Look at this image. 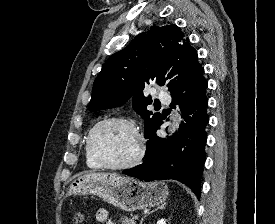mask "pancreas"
<instances>
[{
  "mask_svg": "<svg viewBox=\"0 0 275 224\" xmlns=\"http://www.w3.org/2000/svg\"><path fill=\"white\" fill-rule=\"evenodd\" d=\"M136 219H137L136 216L132 218L121 217V219L119 220V224H135Z\"/></svg>",
  "mask_w": 275,
  "mask_h": 224,
  "instance_id": "pancreas-1",
  "label": "pancreas"
}]
</instances>
